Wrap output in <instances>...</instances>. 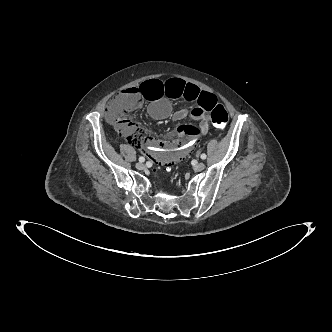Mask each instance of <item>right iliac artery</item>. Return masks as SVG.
Masks as SVG:
<instances>
[{
  "label": "right iliac artery",
  "mask_w": 332,
  "mask_h": 332,
  "mask_svg": "<svg viewBox=\"0 0 332 332\" xmlns=\"http://www.w3.org/2000/svg\"><path fill=\"white\" fill-rule=\"evenodd\" d=\"M144 161H145V158H144V157H142V156L139 157V162H142V163H143Z\"/></svg>",
  "instance_id": "obj_1"
}]
</instances>
